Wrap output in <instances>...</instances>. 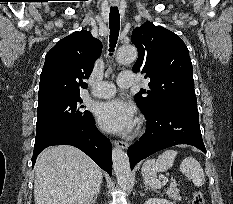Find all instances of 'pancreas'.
<instances>
[{
	"label": "pancreas",
	"instance_id": "cf45deb5",
	"mask_svg": "<svg viewBox=\"0 0 233 204\" xmlns=\"http://www.w3.org/2000/svg\"><path fill=\"white\" fill-rule=\"evenodd\" d=\"M166 194L168 195L169 198L173 200H181V197L179 195V190L177 188H169L166 191Z\"/></svg>",
	"mask_w": 233,
	"mask_h": 204
}]
</instances>
